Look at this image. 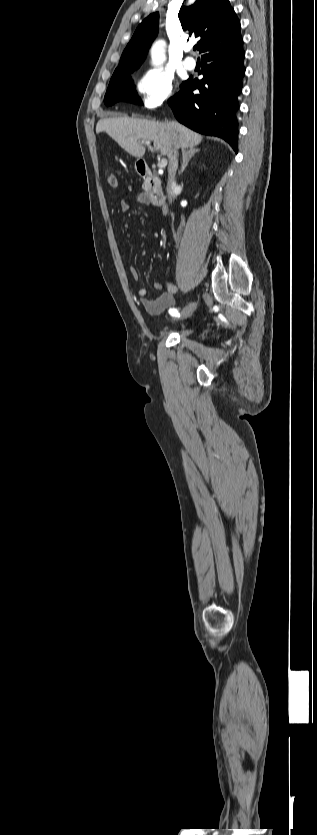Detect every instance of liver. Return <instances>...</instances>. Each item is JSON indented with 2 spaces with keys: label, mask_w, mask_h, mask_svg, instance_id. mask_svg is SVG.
Wrapping results in <instances>:
<instances>
[{
  "label": "liver",
  "mask_w": 317,
  "mask_h": 835,
  "mask_svg": "<svg viewBox=\"0 0 317 835\" xmlns=\"http://www.w3.org/2000/svg\"><path fill=\"white\" fill-rule=\"evenodd\" d=\"M107 133L118 145L134 157L145 154L142 141H153L161 155L172 153L174 145L182 150L202 142V135L176 121L156 122L128 116L103 118L96 125V133Z\"/></svg>",
  "instance_id": "obj_1"
}]
</instances>
